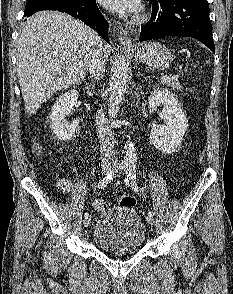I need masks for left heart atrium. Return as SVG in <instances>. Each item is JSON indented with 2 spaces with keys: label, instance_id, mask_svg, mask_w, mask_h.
I'll return each instance as SVG.
<instances>
[{
  "label": "left heart atrium",
  "instance_id": "obj_1",
  "mask_svg": "<svg viewBox=\"0 0 233 294\" xmlns=\"http://www.w3.org/2000/svg\"><path fill=\"white\" fill-rule=\"evenodd\" d=\"M100 4L116 13L131 15L140 9V0H98Z\"/></svg>",
  "mask_w": 233,
  "mask_h": 294
}]
</instances>
